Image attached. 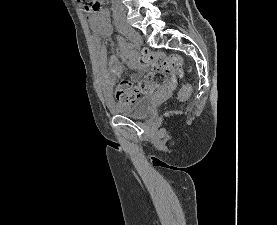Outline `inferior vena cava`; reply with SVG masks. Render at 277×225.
Masks as SVG:
<instances>
[{"mask_svg": "<svg viewBox=\"0 0 277 225\" xmlns=\"http://www.w3.org/2000/svg\"><path fill=\"white\" fill-rule=\"evenodd\" d=\"M111 1H112V4L115 5L118 9H122L120 0H111Z\"/></svg>", "mask_w": 277, "mask_h": 225, "instance_id": "602c4592", "label": "inferior vena cava"}]
</instances>
